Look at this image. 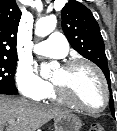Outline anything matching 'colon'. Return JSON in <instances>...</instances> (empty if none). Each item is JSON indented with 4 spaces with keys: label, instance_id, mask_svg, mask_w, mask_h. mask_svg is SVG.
I'll return each mask as SVG.
<instances>
[{
    "label": "colon",
    "instance_id": "1",
    "mask_svg": "<svg viewBox=\"0 0 117 131\" xmlns=\"http://www.w3.org/2000/svg\"><path fill=\"white\" fill-rule=\"evenodd\" d=\"M88 131H105V129L100 124H93Z\"/></svg>",
    "mask_w": 117,
    "mask_h": 131
}]
</instances>
